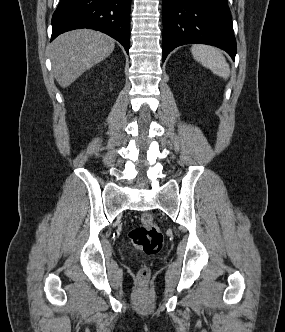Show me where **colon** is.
I'll return each instance as SVG.
<instances>
[{"mask_svg": "<svg viewBox=\"0 0 285 332\" xmlns=\"http://www.w3.org/2000/svg\"><path fill=\"white\" fill-rule=\"evenodd\" d=\"M129 238L136 248L151 255L158 253L163 245V235L149 213L143 214L141 224L129 231ZM138 276L141 281H145L149 276V269L142 267Z\"/></svg>", "mask_w": 285, "mask_h": 332, "instance_id": "colon-1", "label": "colon"}]
</instances>
